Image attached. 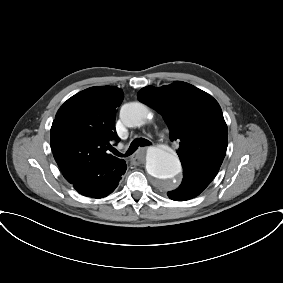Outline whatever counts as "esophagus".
Here are the masks:
<instances>
[{"mask_svg": "<svg viewBox=\"0 0 283 283\" xmlns=\"http://www.w3.org/2000/svg\"><path fill=\"white\" fill-rule=\"evenodd\" d=\"M146 148H140L132 157L133 161L143 162Z\"/></svg>", "mask_w": 283, "mask_h": 283, "instance_id": "obj_1", "label": "esophagus"}]
</instances>
